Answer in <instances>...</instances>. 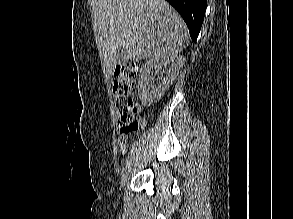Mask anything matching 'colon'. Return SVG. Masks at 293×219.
Masks as SVG:
<instances>
[{
  "instance_id": "colon-1",
  "label": "colon",
  "mask_w": 293,
  "mask_h": 219,
  "mask_svg": "<svg viewBox=\"0 0 293 219\" xmlns=\"http://www.w3.org/2000/svg\"><path fill=\"white\" fill-rule=\"evenodd\" d=\"M139 63L131 62L116 68L112 80L115 98L122 103L118 112V125L125 134L137 132L143 121L137 117L140 104L132 98L139 76Z\"/></svg>"
}]
</instances>
